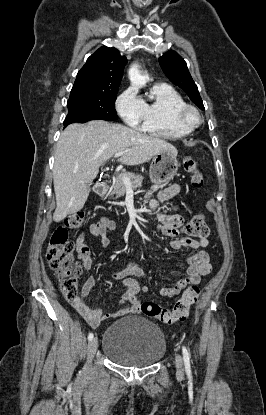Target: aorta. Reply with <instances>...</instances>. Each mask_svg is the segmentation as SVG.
<instances>
[{
  "label": "aorta",
  "instance_id": "1",
  "mask_svg": "<svg viewBox=\"0 0 266 415\" xmlns=\"http://www.w3.org/2000/svg\"><path fill=\"white\" fill-rule=\"evenodd\" d=\"M129 79L132 85L142 86L145 84V78L142 76L138 65L134 64L129 69Z\"/></svg>",
  "mask_w": 266,
  "mask_h": 415
}]
</instances>
